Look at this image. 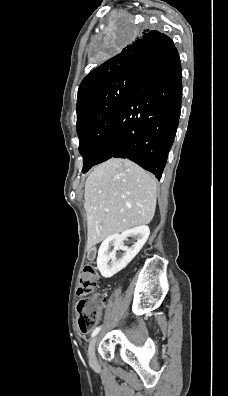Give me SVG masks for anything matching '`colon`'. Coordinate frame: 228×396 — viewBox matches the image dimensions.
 <instances>
[{
    "label": "colon",
    "mask_w": 228,
    "mask_h": 396,
    "mask_svg": "<svg viewBox=\"0 0 228 396\" xmlns=\"http://www.w3.org/2000/svg\"><path fill=\"white\" fill-rule=\"evenodd\" d=\"M99 275L94 265L89 264L82 270L77 287V294L82 298L78 301V326L82 333H88L95 326L100 310L104 304V297L89 296L95 289Z\"/></svg>",
    "instance_id": "1"
}]
</instances>
